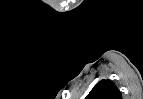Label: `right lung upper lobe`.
Wrapping results in <instances>:
<instances>
[{
	"label": "right lung upper lobe",
	"instance_id": "obj_1",
	"mask_svg": "<svg viewBox=\"0 0 143 99\" xmlns=\"http://www.w3.org/2000/svg\"><path fill=\"white\" fill-rule=\"evenodd\" d=\"M86 99H122V95L113 81L104 79L93 87Z\"/></svg>",
	"mask_w": 143,
	"mask_h": 99
}]
</instances>
